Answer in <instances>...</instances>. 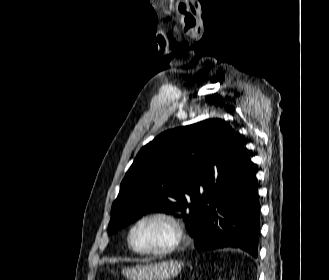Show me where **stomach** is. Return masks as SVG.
I'll list each match as a JSON object with an SVG mask.
<instances>
[{
  "label": "stomach",
  "mask_w": 329,
  "mask_h": 280,
  "mask_svg": "<svg viewBox=\"0 0 329 280\" xmlns=\"http://www.w3.org/2000/svg\"><path fill=\"white\" fill-rule=\"evenodd\" d=\"M183 267V262L171 260L126 267L122 273L128 280H169L177 276Z\"/></svg>",
  "instance_id": "obj_1"
}]
</instances>
